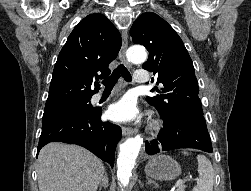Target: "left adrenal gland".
Listing matches in <instances>:
<instances>
[{"mask_svg":"<svg viewBox=\"0 0 251 191\" xmlns=\"http://www.w3.org/2000/svg\"><path fill=\"white\" fill-rule=\"evenodd\" d=\"M147 183H154L155 187H158V183H156V181H153V179H148Z\"/></svg>","mask_w":251,"mask_h":191,"instance_id":"left-adrenal-gland-1","label":"left adrenal gland"}]
</instances>
